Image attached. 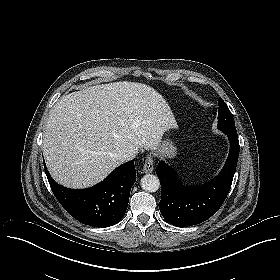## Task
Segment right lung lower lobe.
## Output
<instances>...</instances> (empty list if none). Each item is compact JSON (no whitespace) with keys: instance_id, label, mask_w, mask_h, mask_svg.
I'll return each instance as SVG.
<instances>
[{"instance_id":"right-lung-lower-lobe-1","label":"right lung lower lobe","mask_w":280,"mask_h":280,"mask_svg":"<svg viewBox=\"0 0 280 280\" xmlns=\"http://www.w3.org/2000/svg\"><path fill=\"white\" fill-rule=\"evenodd\" d=\"M45 173L55 197L65 210L83 224L94 227H110L122 219L131 187L136 181L134 159L88 189L63 187L52 179L46 167Z\"/></svg>"}]
</instances>
